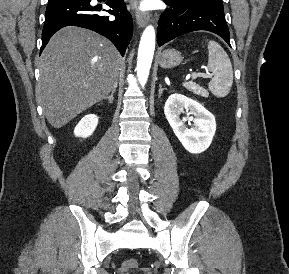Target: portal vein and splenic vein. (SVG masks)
<instances>
[{
	"label": "portal vein and splenic vein",
	"mask_w": 289,
	"mask_h": 274,
	"mask_svg": "<svg viewBox=\"0 0 289 274\" xmlns=\"http://www.w3.org/2000/svg\"><path fill=\"white\" fill-rule=\"evenodd\" d=\"M212 75L211 74H207V73H194L191 75V79L195 80L198 77H202V78H210Z\"/></svg>",
	"instance_id": "obj_1"
}]
</instances>
